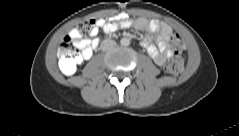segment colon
I'll return each mask as SVG.
<instances>
[{
	"instance_id": "5ec220e1",
	"label": "colon",
	"mask_w": 239,
	"mask_h": 136,
	"mask_svg": "<svg viewBox=\"0 0 239 136\" xmlns=\"http://www.w3.org/2000/svg\"><path fill=\"white\" fill-rule=\"evenodd\" d=\"M96 28L94 19H87L77 24L76 32L79 36L87 37L92 35ZM172 48L175 56L165 64V71L170 75H178L183 70V58L181 56L184 43L179 36H173ZM59 66L63 72L71 74L75 71L81 60L80 49L71 36L65 38L58 49Z\"/></svg>"
}]
</instances>
